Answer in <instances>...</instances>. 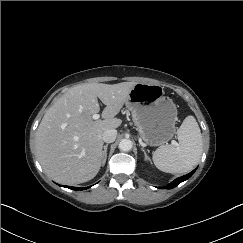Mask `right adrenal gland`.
<instances>
[{"label":"right adrenal gland","instance_id":"2a0ac1e0","mask_svg":"<svg viewBox=\"0 0 243 243\" xmlns=\"http://www.w3.org/2000/svg\"><path fill=\"white\" fill-rule=\"evenodd\" d=\"M107 147H108V144L104 145L103 148V153H102V157H103V160H102V167L105 165L106 163V159H107Z\"/></svg>","mask_w":243,"mask_h":243}]
</instances>
